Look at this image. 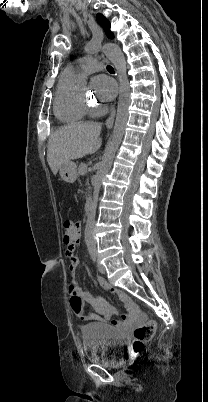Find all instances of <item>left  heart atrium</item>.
<instances>
[{
	"label": "left heart atrium",
	"mask_w": 208,
	"mask_h": 402,
	"mask_svg": "<svg viewBox=\"0 0 208 402\" xmlns=\"http://www.w3.org/2000/svg\"><path fill=\"white\" fill-rule=\"evenodd\" d=\"M95 83L100 91L99 98L101 100L109 101L116 94L115 82L106 75H98L95 77Z\"/></svg>",
	"instance_id": "39dd6f15"
}]
</instances>
